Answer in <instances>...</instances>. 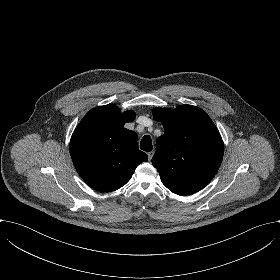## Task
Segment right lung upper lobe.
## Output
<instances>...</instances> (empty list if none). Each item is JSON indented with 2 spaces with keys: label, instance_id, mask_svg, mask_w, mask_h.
I'll return each mask as SVG.
<instances>
[{
  "label": "right lung upper lobe",
  "instance_id": "cb5924a9",
  "mask_svg": "<svg viewBox=\"0 0 280 280\" xmlns=\"http://www.w3.org/2000/svg\"><path fill=\"white\" fill-rule=\"evenodd\" d=\"M135 119L108 104L90 110L74 130L70 154L78 174L92 188L110 192L125 185L136 167L148 160L138 149L137 134L124 128Z\"/></svg>",
  "mask_w": 280,
  "mask_h": 280
}]
</instances>
